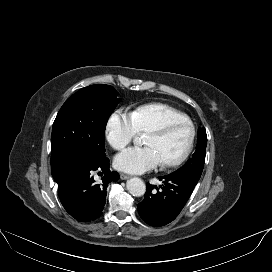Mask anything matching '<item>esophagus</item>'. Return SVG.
Masks as SVG:
<instances>
[{
  "label": "esophagus",
  "instance_id": "esophagus-1",
  "mask_svg": "<svg viewBox=\"0 0 272 272\" xmlns=\"http://www.w3.org/2000/svg\"><path fill=\"white\" fill-rule=\"evenodd\" d=\"M120 178H121L122 180H126V179L129 178V176L126 175V174L121 173V174H120Z\"/></svg>",
  "mask_w": 272,
  "mask_h": 272
}]
</instances>
